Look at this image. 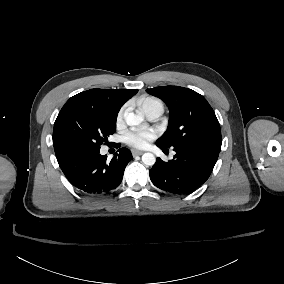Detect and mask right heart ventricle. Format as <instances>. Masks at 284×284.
I'll return each mask as SVG.
<instances>
[{
    "instance_id": "obj_1",
    "label": "right heart ventricle",
    "mask_w": 284,
    "mask_h": 284,
    "mask_svg": "<svg viewBox=\"0 0 284 284\" xmlns=\"http://www.w3.org/2000/svg\"><path fill=\"white\" fill-rule=\"evenodd\" d=\"M150 103H161V104H163L162 101H161L160 99H158V98H155V97H148V98H146V99L144 100V102H143V105H142L143 110H144V109L147 107V105L150 104Z\"/></svg>"
}]
</instances>
